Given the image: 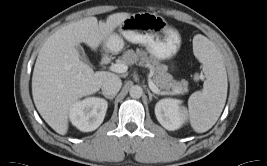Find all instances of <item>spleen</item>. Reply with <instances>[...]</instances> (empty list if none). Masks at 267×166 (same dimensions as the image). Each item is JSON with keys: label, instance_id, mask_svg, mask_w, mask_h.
I'll list each match as a JSON object with an SVG mask.
<instances>
[{"label": "spleen", "instance_id": "1", "mask_svg": "<svg viewBox=\"0 0 267 166\" xmlns=\"http://www.w3.org/2000/svg\"><path fill=\"white\" fill-rule=\"evenodd\" d=\"M195 57L203 65L205 81L202 91L194 92L188 100V110L181 109L183 120L189 119L198 133L208 131L218 120L227 98V74L221 54L202 35L193 40Z\"/></svg>", "mask_w": 267, "mask_h": 166}]
</instances>
